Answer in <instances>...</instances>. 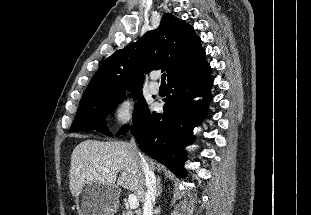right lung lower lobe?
I'll use <instances>...</instances> for the list:
<instances>
[{"mask_svg": "<svg viewBox=\"0 0 311 215\" xmlns=\"http://www.w3.org/2000/svg\"><path fill=\"white\" fill-rule=\"evenodd\" d=\"M213 83L210 65L203 62L198 68L179 75L168 82L164 99V113L148 111L131 126V133L141 150L168 167L176 176L183 177L185 146L193 140V128L202 120L210 100ZM205 99L195 102V97Z\"/></svg>", "mask_w": 311, "mask_h": 215, "instance_id": "98d812e1", "label": "right lung lower lobe"}]
</instances>
